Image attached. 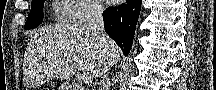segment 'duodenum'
<instances>
[{
    "instance_id": "duodenum-1",
    "label": "duodenum",
    "mask_w": 216,
    "mask_h": 90,
    "mask_svg": "<svg viewBox=\"0 0 216 90\" xmlns=\"http://www.w3.org/2000/svg\"><path fill=\"white\" fill-rule=\"evenodd\" d=\"M70 90H87V87H70Z\"/></svg>"
}]
</instances>
